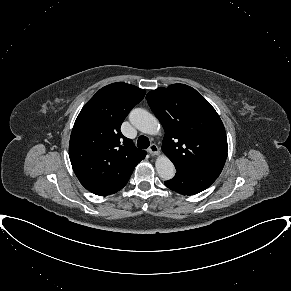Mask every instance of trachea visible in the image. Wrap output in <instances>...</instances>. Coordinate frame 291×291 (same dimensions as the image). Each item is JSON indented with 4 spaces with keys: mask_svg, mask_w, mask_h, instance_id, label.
<instances>
[{
    "mask_svg": "<svg viewBox=\"0 0 291 291\" xmlns=\"http://www.w3.org/2000/svg\"><path fill=\"white\" fill-rule=\"evenodd\" d=\"M150 145L149 139L145 136H140L137 141V146L140 149H147Z\"/></svg>",
    "mask_w": 291,
    "mask_h": 291,
    "instance_id": "trachea-1",
    "label": "trachea"
}]
</instances>
